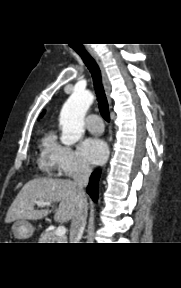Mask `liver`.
<instances>
[{"label":"liver","instance_id":"6515ba94","mask_svg":"<svg viewBox=\"0 0 181 288\" xmlns=\"http://www.w3.org/2000/svg\"><path fill=\"white\" fill-rule=\"evenodd\" d=\"M38 201L59 202L54 220L60 223L72 220L78 209V193L73 181L37 178L27 182L20 190L7 212L5 222L39 220L49 215L51 210L48 208H34Z\"/></svg>","mask_w":181,"mask_h":288}]
</instances>
